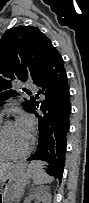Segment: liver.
<instances>
[{
	"mask_svg": "<svg viewBox=\"0 0 89 203\" xmlns=\"http://www.w3.org/2000/svg\"><path fill=\"white\" fill-rule=\"evenodd\" d=\"M6 169H7L6 164L1 165V169H0V175H1L0 180H1V182H2L3 176H4L5 172H6Z\"/></svg>",
	"mask_w": 89,
	"mask_h": 203,
	"instance_id": "obj_1",
	"label": "liver"
}]
</instances>
